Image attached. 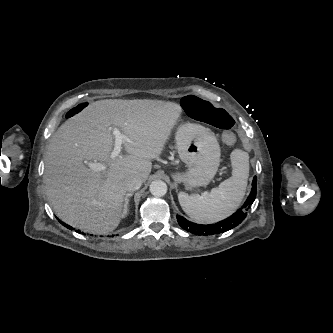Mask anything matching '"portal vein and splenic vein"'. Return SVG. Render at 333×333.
<instances>
[{"mask_svg":"<svg viewBox=\"0 0 333 333\" xmlns=\"http://www.w3.org/2000/svg\"><path fill=\"white\" fill-rule=\"evenodd\" d=\"M112 132L115 137V142H114V149L111 152L110 158L115 159L120 155L123 143L125 141L130 142V139L126 135L122 134L118 128H112ZM87 166L94 171H99V172L106 171V165L103 163L89 162L87 163Z\"/></svg>","mask_w":333,"mask_h":333,"instance_id":"portal-vein-and-splenic-vein-1","label":"portal vein and splenic vein"}]
</instances>
